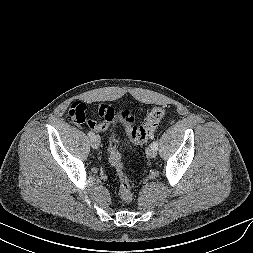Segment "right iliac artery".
<instances>
[{
	"instance_id": "obj_1",
	"label": "right iliac artery",
	"mask_w": 253,
	"mask_h": 253,
	"mask_svg": "<svg viewBox=\"0 0 253 253\" xmlns=\"http://www.w3.org/2000/svg\"><path fill=\"white\" fill-rule=\"evenodd\" d=\"M94 136H95V135H94V133H93V132H88V137H89V138H91V139H92Z\"/></svg>"
}]
</instances>
